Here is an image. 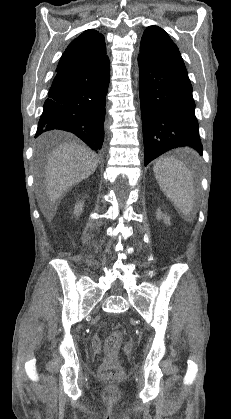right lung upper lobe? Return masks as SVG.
Returning a JSON list of instances; mask_svg holds the SVG:
<instances>
[{"label": "right lung upper lobe", "mask_w": 231, "mask_h": 419, "mask_svg": "<svg viewBox=\"0 0 231 419\" xmlns=\"http://www.w3.org/2000/svg\"><path fill=\"white\" fill-rule=\"evenodd\" d=\"M107 60L103 35L89 29L69 44L56 70L95 66Z\"/></svg>", "instance_id": "obj_1"}]
</instances>
